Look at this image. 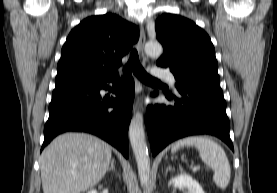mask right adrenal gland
I'll list each match as a JSON object with an SVG mask.
<instances>
[{
  "mask_svg": "<svg viewBox=\"0 0 277 193\" xmlns=\"http://www.w3.org/2000/svg\"><path fill=\"white\" fill-rule=\"evenodd\" d=\"M111 170L115 171V166H114V159L111 160V166L110 168H108V172H110Z\"/></svg>",
  "mask_w": 277,
  "mask_h": 193,
  "instance_id": "1",
  "label": "right adrenal gland"
}]
</instances>
